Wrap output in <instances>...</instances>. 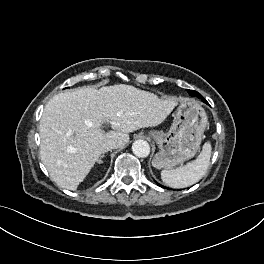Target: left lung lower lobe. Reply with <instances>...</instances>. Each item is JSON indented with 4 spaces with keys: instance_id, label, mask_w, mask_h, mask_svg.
I'll return each mask as SVG.
<instances>
[{
    "instance_id": "1",
    "label": "left lung lower lobe",
    "mask_w": 264,
    "mask_h": 264,
    "mask_svg": "<svg viewBox=\"0 0 264 264\" xmlns=\"http://www.w3.org/2000/svg\"><path fill=\"white\" fill-rule=\"evenodd\" d=\"M189 94H190L191 96H197L198 98H202L203 101L206 102L205 99H204V98H203L198 92H196V91H192V92H190Z\"/></svg>"
}]
</instances>
